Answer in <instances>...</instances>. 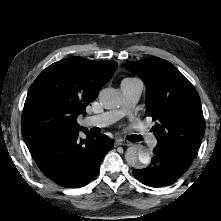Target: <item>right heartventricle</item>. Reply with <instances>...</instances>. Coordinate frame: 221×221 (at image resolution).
Returning a JSON list of instances; mask_svg holds the SVG:
<instances>
[{"label": "right heart ventricle", "mask_w": 221, "mask_h": 221, "mask_svg": "<svg viewBox=\"0 0 221 221\" xmlns=\"http://www.w3.org/2000/svg\"><path fill=\"white\" fill-rule=\"evenodd\" d=\"M125 80H135V79H133V78H126Z\"/></svg>", "instance_id": "right-heart-ventricle-1"}]
</instances>
